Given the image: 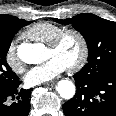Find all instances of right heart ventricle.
Here are the masks:
<instances>
[{
    "label": "right heart ventricle",
    "instance_id": "1",
    "mask_svg": "<svg viewBox=\"0 0 116 116\" xmlns=\"http://www.w3.org/2000/svg\"><path fill=\"white\" fill-rule=\"evenodd\" d=\"M64 29L63 26L52 22H38L26 30V35L34 41L49 44L54 37Z\"/></svg>",
    "mask_w": 116,
    "mask_h": 116
}]
</instances>
